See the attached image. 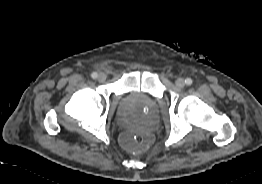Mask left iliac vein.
Returning a JSON list of instances; mask_svg holds the SVG:
<instances>
[{"label": "left iliac vein", "mask_w": 262, "mask_h": 184, "mask_svg": "<svg viewBox=\"0 0 262 184\" xmlns=\"http://www.w3.org/2000/svg\"><path fill=\"white\" fill-rule=\"evenodd\" d=\"M175 83L180 88L185 86V80L183 78H178Z\"/></svg>", "instance_id": "1"}]
</instances>
